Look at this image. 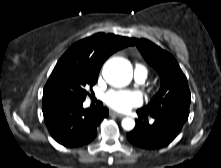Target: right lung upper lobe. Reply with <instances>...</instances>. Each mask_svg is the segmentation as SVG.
<instances>
[{
    "label": "right lung upper lobe",
    "instance_id": "right-lung-upper-lobe-1",
    "mask_svg": "<svg viewBox=\"0 0 221 168\" xmlns=\"http://www.w3.org/2000/svg\"><path fill=\"white\" fill-rule=\"evenodd\" d=\"M129 45H133V41L130 38L97 33L76 42L59 61H73L100 70L104 61L111 54ZM43 99L46 98L43 96Z\"/></svg>",
    "mask_w": 221,
    "mask_h": 168
}]
</instances>
